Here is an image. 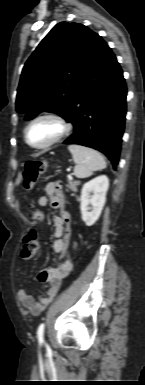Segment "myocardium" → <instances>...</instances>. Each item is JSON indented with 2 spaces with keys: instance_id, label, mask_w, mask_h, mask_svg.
<instances>
[{
  "instance_id": "f54148a6",
  "label": "myocardium",
  "mask_w": 145,
  "mask_h": 385,
  "mask_svg": "<svg viewBox=\"0 0 145 385\" xmlns=\"http://www.w3.org/2000/svg\"><path fill=\"white\" fill-rule=\"evenodd\" d=\"M44 119H48V120H52V121L56 122L60 126V132L58 133V135L55 138H53L51 141H49L48 143H46L44 145H39V146L33 145L29 142V139H28L29 129L36 122H38L40 120H44ZM71 130H72L71 124L62 115H60L58 113H54V112H43V113L35 116L34 118H32L28 122V124L26 125V127L24 129V140L30 148L35 149V150H44V149L50 148L51 146H53V145L57 144L58 142H60L61 140H63L65 137H67L69 135Z\"/></svg>"
}]
</instances>
